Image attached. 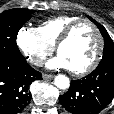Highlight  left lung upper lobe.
<instances>
[{
  "label": "left lung upper lobe",
  "instance_id": "obj_1",
  "mask_svg": "<svg viewBox=\"0 0 114 114\" xmlns=\"http://www.w3.org/2000/svg\"><path fill=\"white\" fill-rule=\"evenodd\" d=\"M88 18L97 25V27L99 28L102 36L104 37V41H105L103 57H102V60L99 65H106V64L114 63V43H113L112 39L110 38L108 32L101 24L96 22L94 19H92L89 16H88Z\"/></svg>",
  "mask_w": 114,
  "mask_h": 114
}]
</instances>
